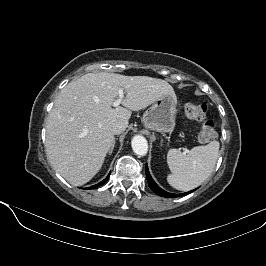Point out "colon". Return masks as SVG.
Wrapping results in <instances>:
<instances>
[{
	"label": "colon",
	"mask_w": 266,
	"mask_h": 266,
	"mask_svg": "<svg viewBox=\"0 0 266 266\" xmlns=\"http://www.w3.org/2000/svg\"><path fill=\"white\" fill-rule=\"evenodd\" d=\"M185 115L195 121L202 122L197 138L201 143H209L216 138L214 124L208 118L207 106L204 103L189 102L185 105Z\"/></svg>",
	"instance_id": "1"
}]
</instances>
